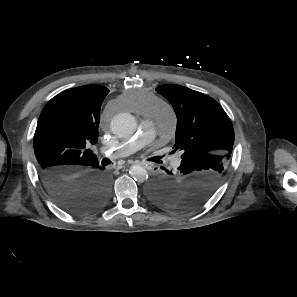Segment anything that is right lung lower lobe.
<instances>
[{"label":"right lung lower lobe","instance_id":"1","mask_svg":"<svg viewBox=\"0 0 297 297\" xmlns=\"http://www.w3.org/2000/svg\"><path fill=\"white\" fill-rule=\"evenodd\" d=\"M47 193L70 213H92L108 200L110 178L99 163L77 173L39 170Z\"/></svg>","mask_w":297,"mask_h":297}]
</instances>
